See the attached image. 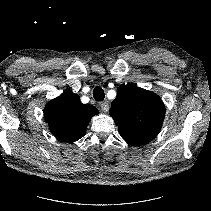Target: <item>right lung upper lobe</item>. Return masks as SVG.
Instances as JSON below:
<instances>
[{
    "label": "right lung upper lobe",
    "instance_id": "obj_1",
    "mask_svg": "<svg viewBox=\"0 0 211 211\" xmlns=\"http://www.w3.org/2000/svg\"><path fill=\"white\" fill-rule=\"evenodd\" d=\"M98 114L91 105L82 104L77 94L65 91L46 104L44 117L54 136L65 142H75L86 133L90 119Z\"/></svg>",
    "mask_w": 211,
    "mask_h": 211
}]
</instances>
